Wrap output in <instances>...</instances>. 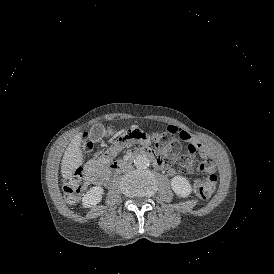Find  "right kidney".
<instances>
[{
	"label": "right kidney",
	"mask_w": 274,
	"mask_h": 274,
	"mask_svg": "<svg viewBox=\"0 0 274 274\" xmlns=\"http://www.w3.org/2000/svg\"><path fill=\"white\" fill-rule=\"evenodd\" d=\"M101 197L102 189L99 187H94L83 197V205L85 207H93L100 202Z\"/></svg>",
	"instance_id": "obj_1"
}]
</instances>
